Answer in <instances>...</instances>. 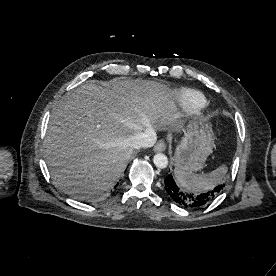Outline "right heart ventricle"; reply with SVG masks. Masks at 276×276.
Wrapping results in <instances>:
<instances>
[{
  "instance_id": "1",
  "label": "right heart ventricle",
  "mask_w": 276,
  "mask_h": 276,
  "mask_svg": "<svg viewBox=\"0 0 276 276\" xmlns=\"http://www.w3.org/2000/svg\"><path fill=\"white\" fill-rule=\"evenodd\" d=\"M183 108L188 112L197 111L204 107L206 100L202 93L195 90H183L179 94Z\"/></svg>"
}]
</instances>
